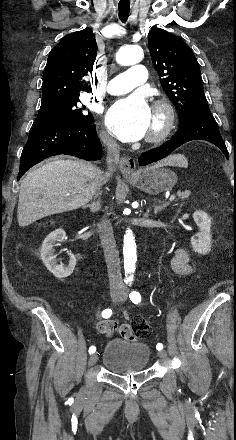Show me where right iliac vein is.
I'll list each match as a JSON object with an SVG mask.
<instances>
[{"mask_svg": "<svg viewBox=\"0 0 236 440\" xmlns=\"http://www.w3.org/2000/svg\"><path fill=\"white\" fill-rule=\"evenodd\" d=\"M120 296H121V294H120L119 292H112V293H111V299H112L113 301H116L117 299H119ZM97 359H98V355H97L96 353H95V354H92V355L89 357L88 365H89V366H93V365L97 362Z\"/></svg>", "mask_w": 236, "mask_h": 440, "instance_id": "obj_1", "label": "right iliac vein"}]
</instances>
